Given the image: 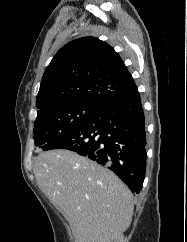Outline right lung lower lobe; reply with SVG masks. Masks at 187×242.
Listing matches in <instances>:
<instances>
[{"label": "right lung lower lobe", "instance_id": "right-lung-lower-lobe-1", "mask_svg": "<svg viewBox=\"0 0 187 242\" xmlns=\"http://www.w3.org/2000/svg\"><path fill=\"white\" fill-rule=\"evenodd\" d=\"M145 118L138 90L114 98L46 150L68 149L106 166L139 193L146 171Z\"/></svg>", "mask_w": 187, "mask_h": 242}]
</instances>
